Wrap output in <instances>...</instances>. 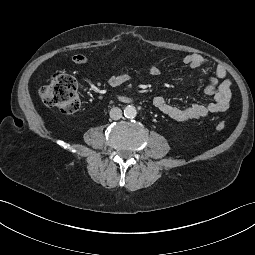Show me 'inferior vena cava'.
Masks as SVG:
<instances>
[{
    "mask_svg": "<svg viewBox=\"0 0 255 255\" xmlns=\"http://www.w3.org/2000/svg\"><path fill=\"white\" fill-rule=\"evenodd\" d=\"M110 118L113 120H119L122 117V110L118 107H113L110 110Z\"/></svg>",
    "mask_w": 255,
    "mask_h": 255,
    "instance_id": "inferior-vena-cava-1",
    "label": "inferior vena cava"
}]
</instances>
